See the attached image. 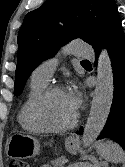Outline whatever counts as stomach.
Segmentation results:
<instances>
[{"label":"stomach","instance_id":"stomach-1","mask_svg":"<svg viewBox=\"0 0 125 167\" xmlns=\"http://www.w3.org/2000/svg\"><path fill=\"white\" fill-rule=\"evenodd\" d=\"M70 153H76L79 149V141L68 139L65 143ZM40 144L38 140L30 135L16 133L10 135L6 143V154L11 158H31L39 153Z\"/></svg>","mask_w":125,"mask_h":167}]
</instances>
